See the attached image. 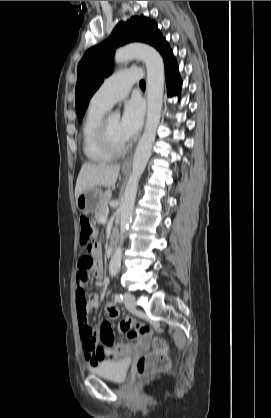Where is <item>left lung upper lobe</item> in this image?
<instances>
[{"label":"left lung upper lobe","mask_w":271,"mask_h":418,"mask_svg":"<svg viewBox=\"0 0 271 418\" xmlns=\"http://www.w3.org/2000/svg\"><path fill=\"white\" fill-rule=\"evenodd\" d=\"M164 41L156 22L144 16H134L126 23L120 22L106 41L90 48L77 68L75 105L79 121L84 116L90 98L111 73L116 47L130 42H143L159 50Z\"/></svg>","instance_id":"left-lung-upper-lobe-1"}]
</instances>
